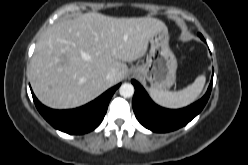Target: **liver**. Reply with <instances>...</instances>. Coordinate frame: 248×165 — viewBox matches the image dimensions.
<instances>
[{"instance_id": "6515ba94", "label": "liver", "mask_w": 248, "mask_h": 165, "mask_svg": "<svg viewBox=\"0 0 248 165\" xmlns=\"http://www.w3.org/2000/svg\"><path fill=\"white\" fill-rule=\"evenodd\" d=\"M167 30L151 17L114 18L85 13L47 29L36 44L30 80L38 100L54 109L82 106L124 79L125 62L143 57L150 38ZM116 72L114 82L106 79Z\"/></svg>"}]
</instances>
